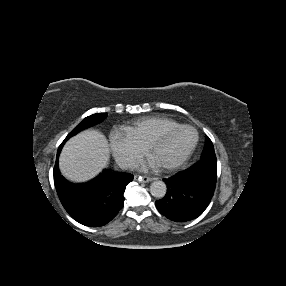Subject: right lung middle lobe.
Masks as SVG:
<instances>
[{"instance_id": "dd1d6c3e", "label": "right lung middle lobe", "mask_w": 286, "mask_h": 286, "mask_svg": "<svg viewBox=\"0 0 286 286\" xmlns=\"http://www.w3.org/2000/svg\"><path fill=\"white\" fill-rule=\"evenodd\" d=\"M107 117V113H96L91 116L86 117L78 126H76L65 138L63 142H65L68 138L75 135L77 132L95 125L97 123L102 122Z\"/></svg>"}]
</instances>
